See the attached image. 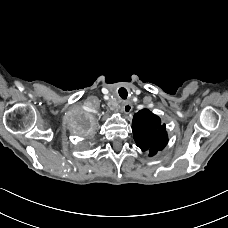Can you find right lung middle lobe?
I'll return each instance as SVG.
<instances>
[{
  "instance_id": "right-lung-middle-lobe-1",
  "label": "right lung middle lobe",
  "mask_w": 228,
  "mask_h": 228,
  "mask_svg": "<svg viewBox=\"0 0 228 228\" xmlns=\"http://www.w3.org/2000/svg\"><path fill=\"white\" fill-rule=\"evenodd\" d=\"M78 132L81 134V135H85L87 132H88V127L84 126V125H81L79 126L78 128Z\"/></svg>"
}]
</instances>
